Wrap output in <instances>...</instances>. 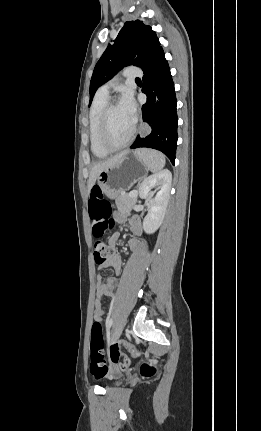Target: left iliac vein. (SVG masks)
Wrapping results in <instances>:
<instances>
[{
  "mask_svg": "<svg viewBox=\"0 0 261 431\" xmlns=\"http://www.w3.org/2000/svg\"><path fill=\"white\" fill-rule=\"evenodd\" d=\"M124 326H125V324L123 322H121L113 329V332L111 335V341L112 342H115L120 337V335L124 329Z\"/></svg>",
  "mask_w": 261,
  "mask_h": 431,
  "instance_id": "obj_1",
  "label": "left iliac vein"
}]
</instances>
